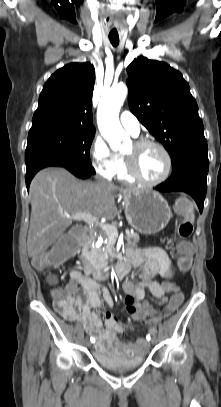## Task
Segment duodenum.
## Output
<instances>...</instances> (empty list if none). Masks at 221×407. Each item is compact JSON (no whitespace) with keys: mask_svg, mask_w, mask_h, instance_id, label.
<instances>
[{"mask_svg":"<svg viewBox=\"0 0 221 407\" xmlns=\"http://www.w3.org/2000/svg\"><path fill=\"white\" fill-rule=\"evenodd\" d=\"M90 229L85 228L86 236L89 234ZM84 267L87 272H92L95 279H110V278H117L122 277L127 274L130 270V264L128 259H124L118 263L115 267H109L103 270H94L92 266L84 260Z\"/></svg>","mask_w":221,"mask_h":407,"instance_id":"duodenum-1","label":"duodenum"}]
</instances>
